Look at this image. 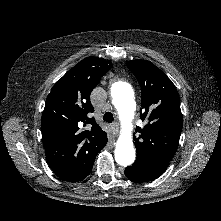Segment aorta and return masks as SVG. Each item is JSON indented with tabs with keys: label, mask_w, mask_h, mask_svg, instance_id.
Segmentation results:
<instances>
[{
	"label": "aorta",
	"mask_w": 221,
	"mask_h": 221,
	"mask_svg": "<svg viewBox=\"0 0 221 221\" xmlns=\"http://www.w3.org/2000/svg\"><path fill=\"white\" fill-rule=\"evenodd\" d=\"M111 96L113 104L126 127L117 141L115 160L121 166H128L135 160L132 136L130 131L127 130V124L135 108L134 91L129 83L115 82L111 86Z\"/></svg>",
	"instance_id": "obj_1"
}]
</instances>
